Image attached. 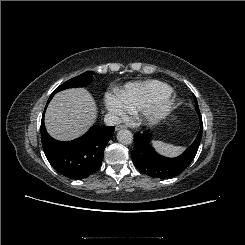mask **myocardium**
Segmentation results:
<instances>
[{"mask_svg": "<svg viewBox=\"0 0 245 245\" xmlns=\"http://www.w3.org/2000/svg\"><path fill=\"white\" fill-rule=\"evenodd\" d=\"M176 97L168 94L139 109V120L148 125H154L165 118L176 106Z\"/></svg>", "mask_w": 245, "mask_h": 245, "instance_id": "myocardium-1", "label": "myocardium"}]
</instances>
